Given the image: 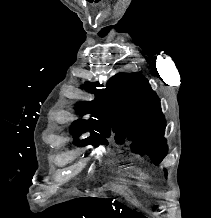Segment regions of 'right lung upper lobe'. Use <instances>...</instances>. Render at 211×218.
Listing matches in <instances>:
<instances>
[{"instance_id":"cb5924a9","label":"right lung upper lobe","mask_w":211,"mask_h":218,"mask_svg":"<svg viewBox=\"0 0 211 218\" xmlns=\"http://www.w3.org/2000/svg\"><path fill=\"white\" fill-rule=\"evenodd\" d=\"M100 87L99 83H86L84 89L91 93H95V100L90 102L78 103L76 112L80 115L86 113L92 114V117L97 119L77 120L74 122L72 128L81 131H90L91 134H99L108 136L110 134V125L108 120L107 100L103 89H96ZM99 132H95V131Z\"/></svg>"}]
</instances>
